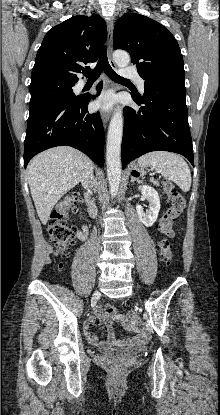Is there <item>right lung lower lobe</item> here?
I'll return each mask as SVG.
<instances>
[{
  "label": "right lung lower lobe",
  "mask_w": 220,
  "mask_h": 415,
  "mask_svg": "<svg viewBox=\"0 0 220 415\" xmlns=\"http://www.w3.org/2000/svg\"><path fill=\"white\" fill-rule=\"evenodd\" d=\"M102 83L97 86L98 94ZM95 96H77L30 112L24 142V167L37 153L55 146L79 149L101 168L104 165V129L99 112L89 113Z\"/></svg>",
  "instance_id": "98d812e1"
}]
</instances>
